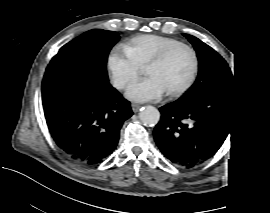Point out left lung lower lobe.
I'll return each instance as SVG.
<instances>
[{
	"mask_svg": "<svg viewBox=\"0 0 270 213\" xmlns=\"http://www.w3.org/2000/svg\"><path fill=\"white\" fill-rule=\"evenodd\" d=\"M154 139L166 158L193 167L214 155L232 130L238 113L236 85L197 99L180 98L160 108Z\"/></svg>",
	"mask_w": 270,
	"mask_h": 213,
	"instance_id": "1",
	"label": "left lung lower lobe"
}]
</instances>
